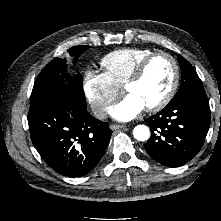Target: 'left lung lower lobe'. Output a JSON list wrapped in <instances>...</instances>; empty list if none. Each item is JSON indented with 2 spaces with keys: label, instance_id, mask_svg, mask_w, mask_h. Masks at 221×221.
Returning <instances> with one entry per match:
<instances>
[{
  "label": "left lung lower lobe",
  "instance_id": "1",
  "mask_svg": "<svg viewBox=\"0 0 221 221\" xmlns=\"http://www.w3.org/2000/svg\"><path fill=\"white\" fill-rule=\"evenodd\" d=\"M151 137L144 144L157 162L176 167L185 164L200 151L210 125L207 96H191L168 104L146 119Z\"/></svg>",
  "mask_w": 221,
  "mask_h": 221
}]
</instances>
